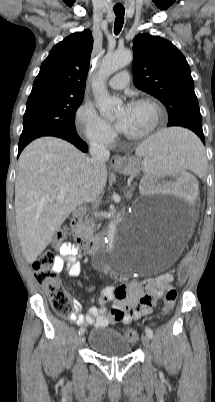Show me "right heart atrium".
<instances>
[{
  "instance_id": "right-heart-atrium-1",
  "label": "right heart atrium",
  "mask_w": 215,
  "mask_h": 402,
  "mask_svg": "<svg viewBox=\"0 0 215 402\" xmlns=\"http://www.w3.org/2000/svg\"><path fill=\"white\" fill-rule=\"evenodd\" d=\"M78 131L91 143L108 145L114 139L111 126L88 103L81 105L76 113Z\"/></svg>"
}]
</instances>
